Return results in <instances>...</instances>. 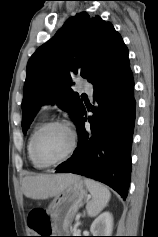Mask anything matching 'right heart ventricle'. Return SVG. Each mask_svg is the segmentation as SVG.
Instances as JSON below:
<instances>
[{"label":"right heart ventricle","mask_w":158,"mask_h":237,"mask_svg":"<svg viewBox=\"0 0 158 237\" xmlns=\"http://www.w3.org/2000/svg\"><path fill=\"white\" fill-rule=\"evenodd\" d=\"M43 125V120H39L35 126L33 127L29 138H28V142H27V153H28V157L29 160L31 161V163L33 164V166L37 169H43L45 168V166L39 164L38 162H36V160L34 159L33 155H32V141H33V137L36 134V132L38 131V129Z\"/></svg>","instance_id":"obj_1"}]
</instances>
